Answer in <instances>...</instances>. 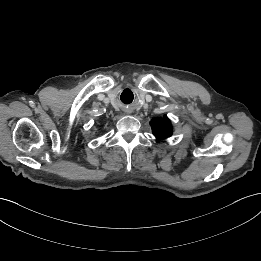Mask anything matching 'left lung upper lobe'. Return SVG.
<instances>
[{"label": "left lung upper lobe", "instance_id": "left-lung-upper-lobe-1", "mask_svg": "<svg viewBox=\"0 0 261 261\" xmlns=\"http://www.w3.org/2000/svg\"><path fill=\"white\" fill-rule=\"evenodd\" d=\"M170 120L164 116V118H155L150 122L153 135L157 139H164L172 135L173 129L169 124Z\"/></svg>", "mask_w": 261, "mask_h": 261}]
</instances>
